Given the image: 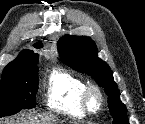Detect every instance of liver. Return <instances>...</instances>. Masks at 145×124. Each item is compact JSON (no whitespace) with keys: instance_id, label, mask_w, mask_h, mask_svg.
Listing matches in <instances>:
<instances>
[{"instance_id":"obj_1","label":"liver","mask_w":145,"mask_h":124,"mask_svg":"<svg viewBox=\"0 0 145 124\" xmlns=\"http://www.w3.org/2000/svg\"><path fill=\"white\" fill-rule=\"evenodd\" d=\"M0 124H60L58 118L49 114L30 115L23 114L16 122L10 120L0 122Z\"/></svg>"}]
</instances>
